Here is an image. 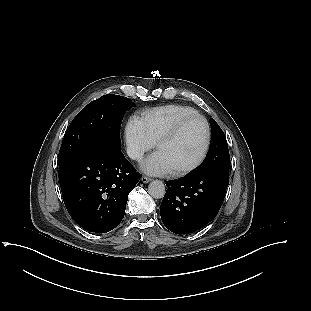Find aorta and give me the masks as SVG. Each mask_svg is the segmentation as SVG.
Returning <instances> with one entry per match:
<instances>
[{
  "label": "aorta",
  "mask_w": 311,
  "mask_h": 311,
  "mask_svg": "<svg viewBox=\"0 0 311 311\" xmlns=\"http://www.w3.org/2000/svg\"><path fill=\"white\" fill-rule=\"evenodd\" d=\"M165 192V185L160 180H153L148 185V193L155 199L163 198Z\"/></svg>",
  "instance_id": "aorta-1"
}]
</instances>
